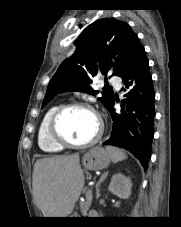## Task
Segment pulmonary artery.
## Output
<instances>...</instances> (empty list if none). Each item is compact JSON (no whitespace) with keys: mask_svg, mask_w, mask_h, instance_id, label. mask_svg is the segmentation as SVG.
Returning a JSON list of instances; mask_svg holds the SVG:
<instances>
[{"mask_svg":"<svg viewBox=\"0 0 181 227\" xmlns=\"http://www.w3.org/2000/svg\"><path fill=\"white\" fill-rule=\"evenodd\" d=\"M109 82L112 83V84H115L116 86H119V79L116 78V77H111L109 79Z\"/></svg>","mask_w":181,"mask_h":227,"instance_id":"1","label":"pulmonary artery"}]
</instances>
